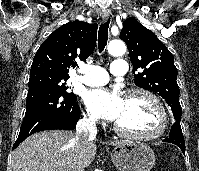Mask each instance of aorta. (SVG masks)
Wrapping results in <instances>:
<instances>
[{"label":"aorta","mask_w":199,"mask_h":171,"mask_svg":"<svg viewBox=\"0 0 199 171\" xmlns=\"http://www.w3.org/2000/svg\"><path fill=\"white\" fill-rule=\"evenodd\" d=\"M108 52L113 56H122L126 52V46L121 40H113L108 45Z\"/></svg>","instance_id":"aorta-1"}]
</instances>
